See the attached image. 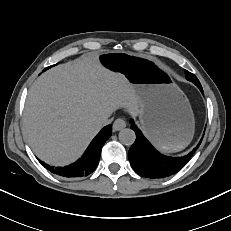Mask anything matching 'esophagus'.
I'll use <instances>...</instances> for the list:
<instances>
[{
	"label": "esophagus",
	"mask_w": 231,
	"mask_h": 231,
	"mask_svg": "<svg viewBox=\"0 0 231 231\" xmlns=\"http://www.w3.org/2000/svg\"><path fill=\"white\" fill-rule=\"evenodd\" d=\"M125 127H126V121L122 117L117 118L113 123V130L114 131H119Z\"/></svg>",
	"instance_id": "34e87169"
}]
</instances>
